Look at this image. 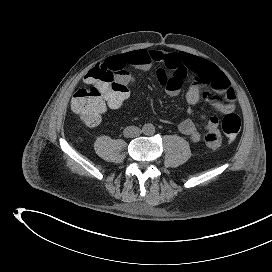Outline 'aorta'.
Here are the masks:
<instances>
[{
    "label": "aorta",
    "mask_w": 272,
    "mask_h": 272,
    "mask_svg": "<svg viewBox=\"0 0 272 272\" xmlns=\"http://www.w3.org/2000/svg\"><path fill=\"white\" fill-rule=\"evenodd\" d=\"M142 132L145 135H153L155 133V126L151 123L144 124L142 127Z\"/></svg>",
    "instance_id": "1"
}]
</instances>
